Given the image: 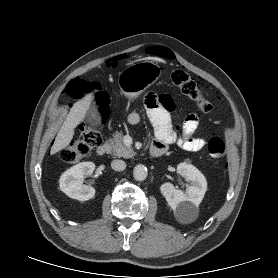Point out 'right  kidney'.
Segmentation results:
<instances>
[{
    "label": "right kidney",
    "mask_w": 278,
    "mask_h": 278,
    "mask_svg": "<svg viewBox=\"0 0 278 278\" xmlns=\"http://www.w3.org/2000/svg\"><path fill=\"white\" fill-rule=\"evenodd\" d=\"M95 169L92 162H81L65 171L59 180L61 191L72 199L86 201L94 197L95 189L84 185L83 179L91 175Z\"/></svg>",
    "instance_id": "right-kidney-1"
}]
</instances>
